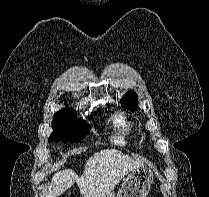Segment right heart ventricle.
<instances>
[{
  "instance_id": "right-heart-ventricle-1",
  "label": "right heart ventricle",
  "mask_w": 209,
  "mask_h": 197,
  "mask_svg": "<svg viewBox=\"0 0 209 197\" xmlns=\"http://www.w3.org/2000/svg\"><path fill=\"white\" fill-rule=\"evenodd\" d=\"M113 121L118 129V141L124 142L125 138L130 134L132 122L125 114L116 115Z\"/></svg>"
}]
</instances>
